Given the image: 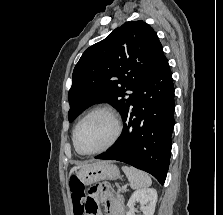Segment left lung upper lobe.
Listing matches in <instances>:
<instances>
[{
    "instance_id": "left-lung-upper-lobe-1",
    "label": "left lung upper lobe",
    "mask_w": 223,
    "mask_h": 215,
    "mask_svg": "<svg viewBox=\"0 0 223 215\" xmlns=\"http://www.w3.org/2000/svg\"><path fill=\"white\" fill-rule=\"evenodd\" d=\"M164 59L156 32L144 21L116 28L86 49L76 64L68 93L69 121L101 102L111 104L123 117L143 81ZM128 90L134 93L128 95Z\"/></svg>"
}]
</instances>
